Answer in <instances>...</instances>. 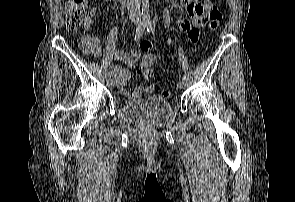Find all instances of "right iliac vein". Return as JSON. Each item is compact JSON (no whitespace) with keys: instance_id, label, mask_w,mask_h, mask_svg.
<instances>
[{"instance_id":"right-iliac-vein-1","label":"right iliac vein","mask_w":295,"mask_h":202,"mask_svg":"<svg viewBox=\"0 0 295 202\" xmlns=\"http://www.w3.org/2000/svg\"><path fill=\"white\" fill-rule=\"evenodd\" d=\"M116 84V81L114 80V78L111 77H107V85L108 86H114Z\"/></svg>"}]
</instances>
